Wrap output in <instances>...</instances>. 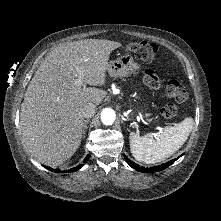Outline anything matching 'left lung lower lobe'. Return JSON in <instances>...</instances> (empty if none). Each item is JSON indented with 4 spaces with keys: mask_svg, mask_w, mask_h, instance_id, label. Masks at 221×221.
<instances>
[{
    "mask_svg": "<svg viewBox=\"0 0 221 221\" xmlns=\"http://www.w3.org/2000/svg\"><path fill=\"white\" fill-rule=\"evenodd\" d=\"M126 162L135 170L139 171V172H144V173H154V172H158L161 170H164L165 168L169 167L171 164H173L176 159H173L171 161H168L162 165L156 166V167H150V168H145V167H140L138 165H135L134 162H132L131 160H129L127 157H125Z\"/></svg>",
    "mask_w": 221,
    "mask_h": 221,
    "instance_id": "obj_1",
    "label": "left lung lower lobe"
}]
</instances>
